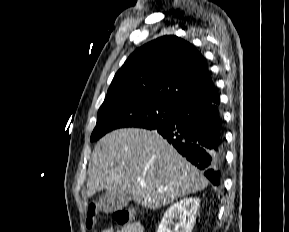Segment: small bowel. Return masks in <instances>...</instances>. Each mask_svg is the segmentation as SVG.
<instances>
[{
    "mask_svg": "<svg viewBox=\"0 0 289 232\" xmlns=\"http://www.w3.org/2000/svg\"><path fill=\"white\" fill-rule=\"evenodd\" d=\"M101 232H144V227L139 222H130L129 224L122 227H109Z\"/></svg>",
    "mask_w": 289,
    "mask_h": 232,
    "instance_id": "1",
    "label": "small bowel"
}]
</instances>
